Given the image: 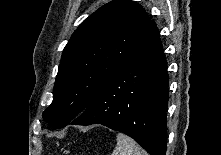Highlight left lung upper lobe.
Segmentation results:
<instances>
[{
  "label": "left lung upper lobe",
  "instance_id": "1",
  "mask_svg": "<svg viewBox=\"0 0 221 155\" xmlns=\"http://www.w3.org/2000/svg\"><path fill=\"white\" fill-rule=\"evenodd\" d=\"M155 28L143 8L128 0H114L89 16L63 50L53 101L43 119L62 128L79 116Z\"/></svg>",
  "mask_w": 221,
  "mask_h": 155
}]
</instances>
